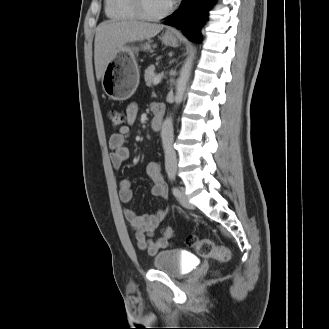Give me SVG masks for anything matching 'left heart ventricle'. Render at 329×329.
Segmentation results:
<instances>
[{
  "mask_svg": "<svg viewBox=\"0 0 329 329\" xmlns=\"http://www.w3.org/2000/svg\"><path fill=\"white\" fill-rule=\"evenodd\" d=\"M145 8L152 14H158L170 6L168 0H143Z\"/></svg>",
  "mask_w": 329,
  "mask_h": 329,
  "instance_id": "left-heart-ventricle-1",
  "label": "left heart ventricle"
}]
</instances>
